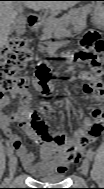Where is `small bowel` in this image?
I'll return each mask as SVG.
<instances>
[{"instance_id":"obj_1","label":"small bowel","mask_w":104,"mask_h":189,"mask_svg":"<svg viewBox=\"0 0 104 189\" xmlns=\"http://www.w3.org/2000/svg\"><path fill=\"white\" fill-rule=\"evenodd\" d=\"M78 79L84 82L82 92L86 96H92L98 106L94 110H99L100 115L95 117L94 111L91 118H86L84 125L74 132L73 138H69L62 133H52L49 140H43L41 136L33 129V120H43L39 113L33 109V97L27 91H20V106L12 114L0 113V124L2 131L9 139L10 147L15 149L23 163L25 169L33 174L38 175L42 171L60 170L65 172L68 167L77 163L81 158L84 149L94 142L102 133L103 118L101 111L102 83L97 74L91 72H82ZM9 105L8 97L0 98V107L3 109ZM40 112L46 111V106L41 104ZM44 121V120H43ZM19 124L28 136L36 143L40 144V162H35V155L30 151L14 132L12 124Z\"/></svg>"}]
</instances>
